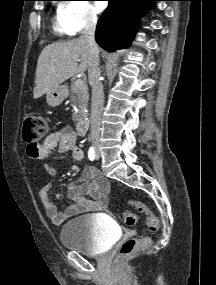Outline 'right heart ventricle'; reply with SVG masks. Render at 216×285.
<instances>
[{
	"instance_id": "1",
	"label": "right heart ventricle",
	"mask_w": 216,
	"mask_h": 285,
	"mask_svg": "<svg viewBox=\"0 0 216 285\" xmlns=\"http://www.w3.org/2000/svg\"><path fill=\"white\" fill-rule=\"evenodd\" d=\"M55 30H56L58 33H65L64 30L62 29L60 23H59L58 17H57V20H56V22H55Z\"/></svg>"
}]
</instances>
